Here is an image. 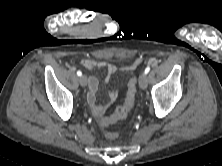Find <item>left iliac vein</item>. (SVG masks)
<instances>
[{"instance_id": "obj_1", "label": "left iliac vein", "mask_w": 222, "mask_h": 166, "mask_svg": "<svg viewBox=\"0 0 222 166\" xmlns=\"http://www.w3.org/2000/svg\"><path fill=\"white\" fill-rule=\"evenodd\" d=\"M138 83H139V86H140L141 89L144 90V89L147 88L148 82H147V76H146L145 73H141L139 75Z\"/></svg>"}]
</instances>
